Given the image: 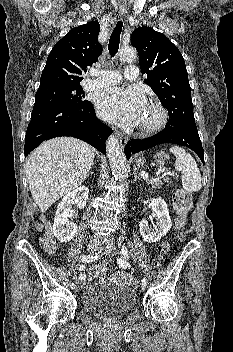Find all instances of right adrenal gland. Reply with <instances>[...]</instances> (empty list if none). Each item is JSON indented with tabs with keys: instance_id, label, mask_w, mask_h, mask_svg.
<instances>
[{
	"instance_id": "right-adrenal-gland-1",
	"label": "right adrenal gland",
	"mask_w": 233,
	"mask_h": 352,
	"mask_svg": "<svg viewBox=\"0 0 233 352\" xmlns=\"http://www.w3.org/2000/svg\"><path fill=\"white\" fill-rule=\"evenodd\" d=\"M93 166H94V164L92 165V167H91L89 173L87 174V177H88L89 175H93Z\"/></svg>"
}]
</instances>
